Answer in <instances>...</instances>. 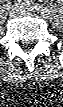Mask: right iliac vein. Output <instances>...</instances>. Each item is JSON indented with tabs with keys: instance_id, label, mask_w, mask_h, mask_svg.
Returning a JSON list of instances; mask_svg holds the SVG:
<instances>
[{
	"instance_id": "right-iliac-vein-1",
	"label": "right iliac vein",
	"mask_w": 63,
	"mask_h": 107,
	"mask_svg": "<svg viewBox=\"0 0 63 107\" xmlns=\"http://www.w3.org/2000/svg\"><path fill=\"white\" fill-rule=\"evenodd\" d=\"M8 14H9L10 17H14L15 14H16V9H15L13 6H11V7L8 9Z\"/></svg>"
}]
</instances>
